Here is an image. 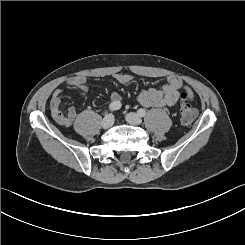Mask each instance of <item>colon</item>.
<instances>
[{
  "label": "colon",
  "instance_id": "colon-1",
  "mask_svg": "<svg viewBox=\"0 0 245 245\" xmlns=\"http://www.w3.org/2000/svg\"><path fill=\"white\" fill-rule=\"evenodd\" d=\"M188 96L186 93L181 94V106H180V117L181 121L185 125H190L194 122L197 117L196 109L187 100Z\"/></svg>",
  "mask_w": 245,
  "mask_h": 245
}]
</instances>
